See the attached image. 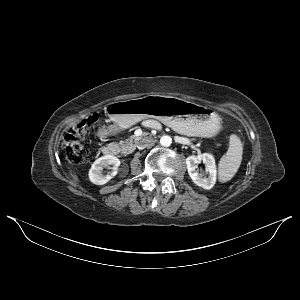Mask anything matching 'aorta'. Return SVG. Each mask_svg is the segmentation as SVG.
Instances as JSON below:
<instances>
[{
	"label": "aorta",
	"instance_id": "obj_1",
	"mask_svg": "<svg viewBox=\"0 0 300 300\" xmlns=\"http://www.w3.org/2000/svg\"><path fill=\"white\" fill-rule=\"evenodd\" d=\"M172 143V138L168 135H164L160 139V144L164 147H169Z\"/></svg>",
	"mask_w": 300,
	"mask_h": 300
}]
</instances>
